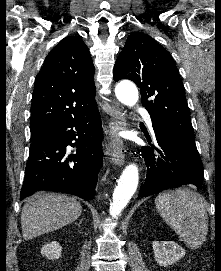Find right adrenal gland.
Returning <instances> with one entry per match:
<instances>
[{"label": "right adrenal gland", "instance_id": "obj_1", "mask_svg": "<svg viewBox=\"0 0 221 271\" xmlns=\"http://www.w3.org/2000/svg\"><path fill=\"white\" fill-rule=\"evenodd\" d=\"M80 223H82V219H80L79 223H77V225H79V227H80Z\"/></svg>", "mask_w": 221, "mask_h": 271}]
</instances>
